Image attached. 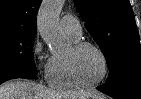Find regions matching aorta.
Masks as SVG:
<instances>
[{
	"label": "aorta",
	"instance_id": "762f6f07",
	"mask_svg": "<svg viewBox=\"0 0 141 99\" xmlns=\"http://www.w3.org/2000/svg\"><path fill=\"white\" fill-rule=\"evenodd\" d=\"M63 6V0H44L37 16V29L51 52H61L66 44L59 32V14Z\"/></svg>",
	"mask_w": 141,
	"mask_h": 99
}]
</instances>
